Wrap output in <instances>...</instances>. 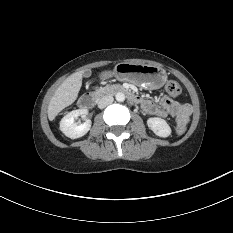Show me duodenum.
<instances>
[{"label":"duodenum","mask_w":233,"mask_h":233,"mask_svg":"<svg viewBox=\"0 0 233 233\" xmlns=\"http://www.w3.org/2000/svg\"><path fill=\"white\" fill-rule=\"evenodd\" d=\"M108 92L110 93H122L125 94L130 101L134 102V103H138L139 102V98L134 95L133 93H131L128 89L121 87V86H112L108 89ZM97 101V95L94 93H87L82 95L79 98V105L83 108H91L94 106V104Z\"/></svg>","instance_id":"obj_1"}]
</instances>
